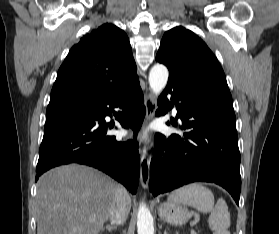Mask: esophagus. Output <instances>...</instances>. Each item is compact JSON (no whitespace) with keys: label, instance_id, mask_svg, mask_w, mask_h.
Segmentation results:
<instances>
[{"label":"esophagus","instance_id":"34e87169","mask_svg":"<svg viewBox=\"0 0 279 234\" xmlns=\"http://www.w3.org/2000/svg\"><path fill=\"white\" fill-rule=\"evenodd\" d=\"M146 114L144 125H146L154 116L156 110V99L153 94L148 93L145 95ZM150 178V159L148 157L147 148L143 146L140 149V181L144 189L148 187Z\"/></svg>","mask_w":279,"mask_h":234}]
</instances>
